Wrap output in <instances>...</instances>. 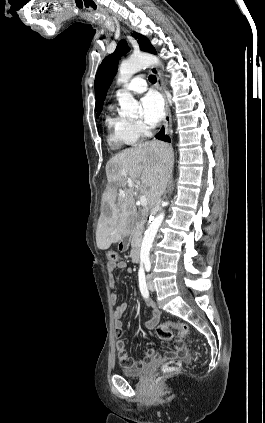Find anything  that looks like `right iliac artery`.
I'll return each mask as SVG.
<instances>
[{"instance_id": "right-iliac-artery-1", "label": "right iliac artery", "mask_w": 265, "mask_h": 423, "mask_svg": "<svg viewBox=\"0 0 265 423\" xmlns=\"http://www.w3.org/2000/svg\"><path fill=\"white\" fill-rule=\"evenodd\" d=\"M138 276H139V287H140L141 294L144 298H148L149 291L146 284L145 273L142 267H140L139 269Z\"/></svg>"}]
</instances>
